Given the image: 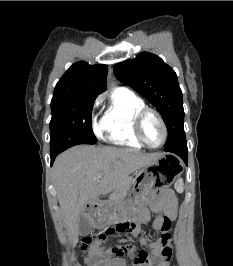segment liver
Masks as SVG:
<instances>
[{"instance_id": "1", "label": "liver", "mask_w": 233, "mask_h": 266, "mask_svg": "<svg viewBox=\"0 0 233 266\" xmlns=\"http://www.w3.org/2000/svg\"><path fill=\"white\" fill-rule=\"evenodd\" d=\"M161 157L159 153H143L131 148L78 145L61 153L53 165L54 184L65 228L75 245L78 220L85 215L92 227V216L85 214L86 204L97 195H106L121 187L128 176ZM101 175L97 179V175Z\"/></svg>"}]
</instances>
